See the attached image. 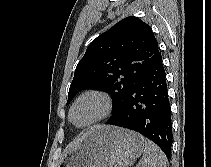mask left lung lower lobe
Segmentation results:
<instances>
[{
    "label": "left lung lower lobe",
    "instance_id": "1",
    "mask_svg": "<svg viewBox=\"0 0 211 167\" xmlns=\"http://www.w3.org/2000/svg\"><path fill=\"white\" fill-rule=\"evenodd\" d=\"M106 124L139 132L156 143L167 158H170L171 108L160 52L151 67L127 94L119 113Z\"/></svg>",
    "mask_w": 211,
    "mask_h": 167
}]
</instances>
